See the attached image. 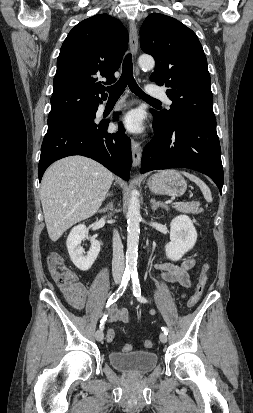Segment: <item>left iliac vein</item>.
Listing matches in <instances>:
<instances>
[{"label": "left iliac vein", "mask_w": 253, "mask_h": 413, "mask_svg": "<svg viewBox=\"0 0 253 413\" xmlns=\"http://www.w3.org/2000/svg\"><path fill=\"white\" fill-rule=\"evenodd\" d=\"M159 338H160V341H161L162 343H166V342H167V335H166V334L161 333L160 336H159Z\"/></svg>", "instance_id": "4c4485c4"}]
</instances>
